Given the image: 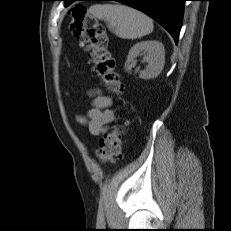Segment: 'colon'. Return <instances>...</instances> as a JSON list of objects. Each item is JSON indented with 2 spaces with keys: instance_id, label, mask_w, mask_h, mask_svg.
<instances>
[{
  "instance_id": "5ec220e1",
  "label": "colon",
  "mask_w": 231,
  "mask_h": 231,
  "mask_svg": "<svg viewBox=\"0 0 231 231\" xmlns=\"http://www.w3.org/2000/svg\"><path fill=\"white\" fill-rule=\"evenodd\" d=\"M70 15L71 31L89 52L94 71L114 94H122L124 88L115 71V60L108 49L105 28L84 5L73 6ZM122 134L123 127L114 126L102 135L96 152L101 161H110L120 154Z\"/></svg>"
}]
</instances>
